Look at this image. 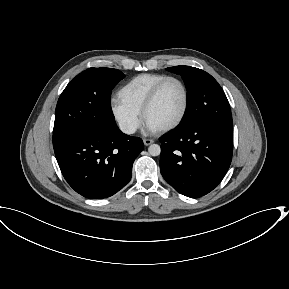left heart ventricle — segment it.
<instances>
[{
  "instance_id": "obj_1",
  "label": "left heart ventricle",
  "mask_w": 289,
  "mask_h": 289,
  "mask_svg": "<svg viewBox=\"0 0 289 289\" xmlns=\"http://www.w3.org/2000/svg\"><path fill=\"white\" fill-rule=\"evenodd\" d=\"M183 103L184 94L181 86L175 81L166 83L149 109L146 122L159 129L171 124L179 117Z\"/></svg>"
}]
</instances>
